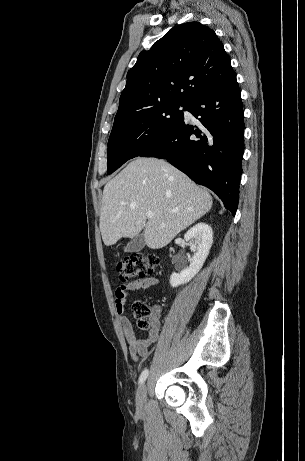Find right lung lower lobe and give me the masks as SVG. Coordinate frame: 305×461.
<instances>
[{
  "label": "right lung lower lobe",
  "instance_id": "98d812e1",
  "mask_svg": "<svg viewBox=\"0 0 305 461\" xmlns=\"http://www.w3.org/2000/svg\"><path fill=\"white\" fill-rule=\"evenodd\" d=\"M187 111L197 118L196 125L183 121L162 143L139 156L166 159L213 190L235 215L245 128L236 74L195 97Z\"/></svg>",
  "mask_w": 305,
  "mask_h": 461
}]
</instances>
